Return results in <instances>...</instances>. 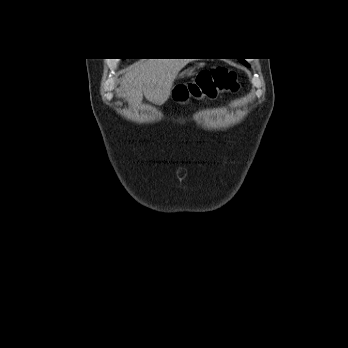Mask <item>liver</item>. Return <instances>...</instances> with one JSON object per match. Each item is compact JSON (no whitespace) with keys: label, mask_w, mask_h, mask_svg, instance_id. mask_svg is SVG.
Wrapping results in <instances>:
<instances>
[{"label":"liver","mask_w":348,"mask_h":348,"mask_svg":"<svg viewBox=\"0 0 348 348\" xmlns=\"http://www.w3.org/2000/svg\"><path fill=\"white\" fill-rule=\"evenodd\" d=\"M189 59H146L129 68L121 82L119 96L130 104H139L143 95L157 105L172 93L174 80Z\"/></svg>","instance_id":"6515ba94"}]
</instances>
